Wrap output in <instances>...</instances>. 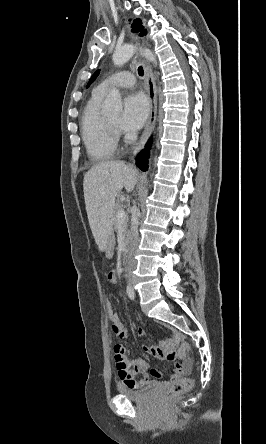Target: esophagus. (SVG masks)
Here are the masks:
<instances>
[{
	"mask_svg": "<svg viewBox=\"0 0 266 444\" xmlns=\"http://www.w3.org/2000/svg\"><path fill=\"white\" fill-rule=\"evenodd\" d=\"M137 39V38H136ZM145 72H146V82H147V93L150 100V112L147 123L145 125L144 131L140 137L139 142L133 147V154L136 155L141 149L144 148L156 121L157 115V91L156 85L153 77L151 67L147 62H145Z\"/></svg>",
	"mask_w": 266,
	"mask_h": 444,
	"instance_id": "1",
	"label": "esophagus"
}]
</instances>
